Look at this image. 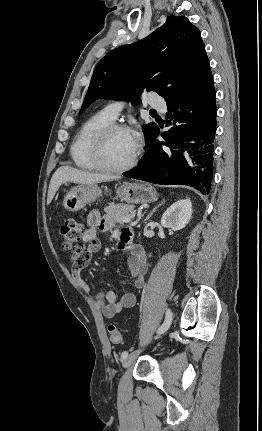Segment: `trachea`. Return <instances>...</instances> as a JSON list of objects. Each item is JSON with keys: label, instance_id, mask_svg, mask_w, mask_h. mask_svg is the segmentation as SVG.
<instances>
[{"label": "trachea", "instance_id": "obj_1", "mask_svg": "<svg viewBox=\"0 0 262 431\" xmlns=\"http://www.w3.org/2000/svg\"><path fill=\"white\" fill-rule=\"evenodd\" d=\"M157 112L155 110H151L150 114H156Z\"/></svg>", "mask_w": 262, "mask_h": 431}]
</instances>
